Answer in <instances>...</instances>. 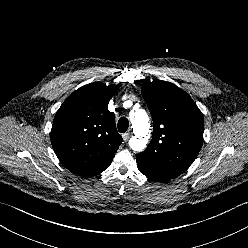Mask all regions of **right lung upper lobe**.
Masks as SVG:
<instances>
[{
    "instance_id": "1",
    "label": "right lung upper lobe",
    "mask_w": 248,
    "mask_h": 248,
    "mask_svg": "<svg viewBox=\"0 0 248 248\" xmlns=\"http://www.w3.org/2000/svg\"><path fill=\"white\" fill-rule=\"evenodd\" d=\"M118 86L91 83L73 92L57 111L51 143L60 162L73 173L92 177L103 172L122 137L108 103Z\"/></svg>"
}]
</instances>
